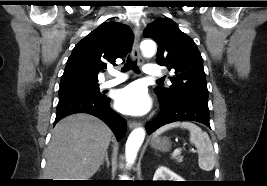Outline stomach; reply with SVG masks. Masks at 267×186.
<instances>
[{
	"instance_id": "0dacf381",
	"label": "stomach",
	"mask_w": 267,
	"mask_h": 186,
	"mask_svg": "<svg viewBox=\"0 0 267 186\" xmlns=\"http://www.w3.org/2000/svg\"><path fill=\"white\" fill-rule=\"evenodd\" d=\"M150 144L153 148L162 151H167L170 148V142L165 138H153Z\"/></svg>"
}]
</instances>
